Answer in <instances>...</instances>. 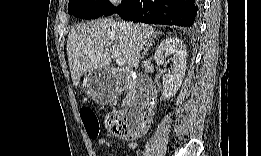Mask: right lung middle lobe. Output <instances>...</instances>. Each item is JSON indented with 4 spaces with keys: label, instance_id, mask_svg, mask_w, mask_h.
I'll return each mask as SVG.
<instances>
[{
    "label": "right lung middle lobe",
    "instance_id": "right-lung-middle-lobe-1",
    "mask_svg": "<svg viewBox=\"0 0 261 156\" xmlns=\"http://www.w3.org/2000/svg\"><path fill=\"white\" fill-rule=\"evenodd\" d=\"M113 5L107 0H70L68 13L81 19H94L104 15Z\"/></svg>",
    "mask_w": 261,
    "mask_h": 156
}]
</instances>
